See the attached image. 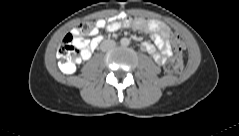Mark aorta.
<instances>
[{
	"label": "aorta",
	"instance_id": "aorta-1",
	"mask_svg": "<svg viewBox=\"0 0 239 136\" xmlns=\"http://www.w3.org/2000/svg\"><path fill=\"white\" fill-rule=\"evenodd\" d=\"M120 42H121V45L128 46L130 43V40L128 38H122Z\"/></svg>",
	"mask_w": 239,
	"mask_h": 136
}]
</instances>
